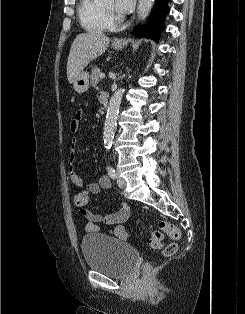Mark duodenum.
<instances>
[{"label": "duodenum", "mask_w": 245, "mask_h": 314, "mask_svg": "<svg viewBox=\"0 0 245 314\" xmlns=\"http://www.w3.org/2000/svg\"><path fill=\"white\" fill-rule=\"evenodd\" d=\"M100 101L103 104V106H108V95L106 93H103L100 95Z\"/></svg>", "instance_id": "obj_1"}]
</instances>
